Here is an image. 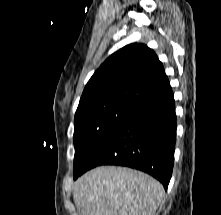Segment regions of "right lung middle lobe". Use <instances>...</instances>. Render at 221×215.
<instances>
[{
  "label": "right lung middle lobe",
  "instance_id": "right-lung-middle-lobe-1",
  "mask_svg": "<svg viewBox=\"0 0 221 215\" xmlns=\"http://www.w3.org/2000/svg\"><path fill=\"white\" fill-rule=\"evenodd\" d=\"M134 105L121 101H97L78 106L74 120V175L90 158Z\"/></svg>",
  "mask_w": 221,
  "mask_h": 215
}]
</instances>
